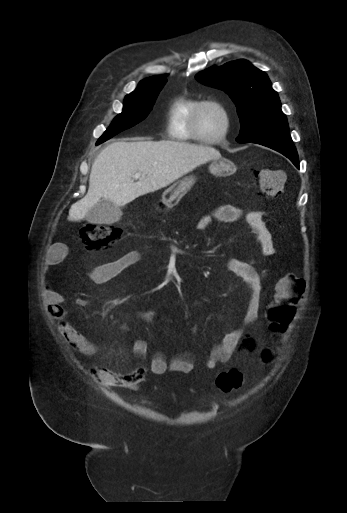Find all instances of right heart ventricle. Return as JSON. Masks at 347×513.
I'll return each instance as SVG.
<instances>
[{
  "label": "right heart ventricle",
  "instance_id": "1",
  "mask_svg": "<svg viewBox=\"0 0 347 513\" xmlns=\"http://www.w3.org/2000/svg\"><path fill=\"white\" fill-rule=\"evenodd\" d=\"M201 101L198 97L189 95H180L172 101L167 122V133L171 139L178 142L202 143L193 135L190 128L193 111Z\"/></svg>",
  "mask_w": 347,
  "mask_h": 513
}]
</instances>
